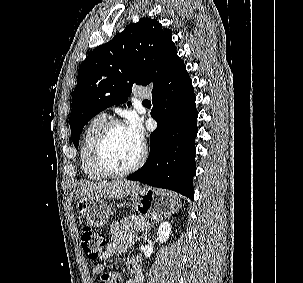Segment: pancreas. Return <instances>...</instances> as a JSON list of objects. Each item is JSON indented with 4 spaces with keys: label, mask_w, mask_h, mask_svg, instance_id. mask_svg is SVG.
<instances>
[{
    "label": "pancreas",
    "mask_w": 303,
    "mask_h": 283,
    "mask_svg": "<svg viewBox=\"0 0 303 283\" xmlns=\"http://www.w3.org/2000/svg\"><path fill=\"white\" fill-rule=\"evenodd\" d=\"M147 218L144 215H129L121 221L122 229L124 231H142L145 229Z\"/></svg>",
    "instance_id": "1"
}]
</instances>
